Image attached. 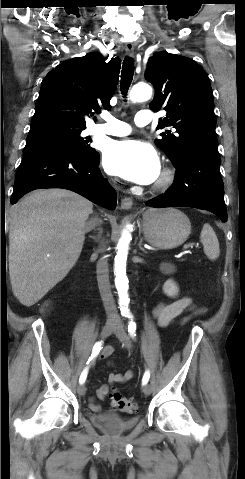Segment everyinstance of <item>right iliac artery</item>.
Returning <instances> with one entry per match:
<instances>
[{
    "mask_svg": "<svg viewBox=\"0 0 245 479\" xmlns=\"http://www.w3.org/2000/svg\"><path fill=\"white\" fill-rule=\"evenodd\" d=\"M101 349H102V341L96 342L95 345L93 346L92 354L87 364L89 363V361H91L93 358H95L99 354ZM87 373H88V367H86L80 375V378H79L80 384H83L85 382L87 378Z\"/></svg>",
    "mask_w": 245,
    "mask_h": 479,
    "instance_id": "obj_1",
    "label": "right iliac artery"
}]
</instances>
